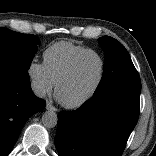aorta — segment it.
Listing matches in <instances>:
<instances>
[{
    "instance_id": "aorta-1",
    "label": "aorta",
    "mask_w": 156,
    "mask_h": 156,
    "mask_svg": "<svg viewBox=\"0 0 156 156\" xmlns=\"http://www.w3.org/2000/svg\"><path fill=\"white\" fill-rule=\"evenodd\" d=\"M58 116L54 111H46L42 115V123L46 128H54L57 125Z\"/></svg>"
}]
</instances>
